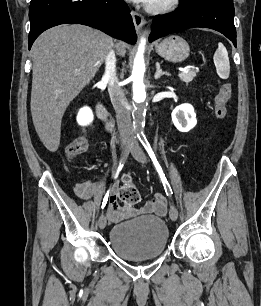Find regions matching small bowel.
I'll list each match as a JSON object with an SVG mask.
<instances>
[{"instance_id": "1", "label": "small bowel", "mask_w": 261, "mask_h": 306, "mask_svg": "<svg viewBox=\"0 0 261 306\" xmlns=\"http://www.w3.org/2000/svg\"><path fill=\"white\" fill-rule=\"evenodd\" d=\"M98 184L94 181H86L78 184L74 188L75 195L82 200L93 198L98 191ZM167 211V202L162 194H155L154 197L139 210L140 213H154L158 216H164ZM107 215L110 221L117 222L132 215V212L125 210L117 202L116 189L112 193L108 202Z\"/></svg>"}]
</instances>
